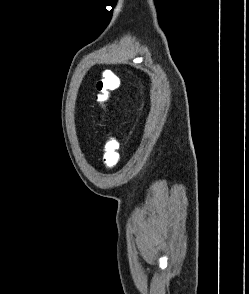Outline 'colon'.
Wrapping results in <instances>:
<instances>
[{
	"instance_id": "obj_1",
	"label": "colon",
	"mask_w": 249,
	"mask_h": 294,
	"mask_svg": "<svg viewBox=\"0 0 249 294\" xmlns=\"http://www.w3.org/2000/svg\"><path fill=\"white\" fill-rule=\"evenodd\" d=\"M119 86V79L115 78L112 81L109 78L103 77L98 82V88L95 95V101L97 105L106 113L109 109V102L112 98L113 93L117 90ZM118 143L117 141L110 139V141L105 146V165L111 168L116 165L119 159L117 152Z\"/></svg>"
}]
</instances>
